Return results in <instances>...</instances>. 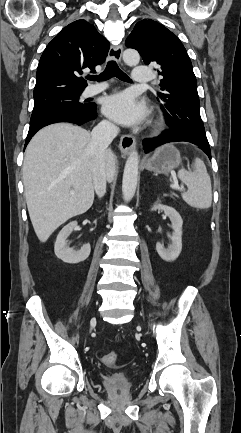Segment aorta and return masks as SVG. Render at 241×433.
<instances>
[{"mask_svg": "<svg viewBox=\"0 0 241 433\" xmlns=\"http://www.w3.org/2000/svg\"><path fill=\"white\" fill-rule=\"evenodd\" d=\"M123 60L127 65H136L140 61V55L136 50L127 49L123 53ZM138 166L139 155L134 149L125 164L123 180H122V193L125 201H130L136 191L138 181Z\"/></svg>", "mask_w": 241, "mask_h": 433, "instance_id": "762f6f07", "label": "aorta"}]
</instances>
